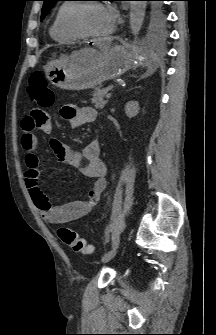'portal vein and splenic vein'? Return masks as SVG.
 <instances>
[{"label": "portal vein and splenic vein", "instance_id": "obj_1", "mask_svg": "<svg viewBox=\"0 0 216 335\" xmlns=\"http://www.w3.org/2000/svg\"><path fill=\"white\" fill-rule=\"evenodd\" d=\"M111 98V93L106 94V99H110Z\"/></svg>", "mask_w": 216, "mask_h": 335}]
</instances>
